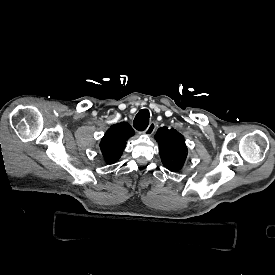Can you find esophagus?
<instances>
[{
    "label": "esophagus",
    "mask_w": 275,
    "mask_h": 275,
    "mask_svg": "<svg viewBox=\"0 0 275 275\" xmlns=\"http://www.w3.org/2000/svg\"><path fill=\"white\" fill-rule=\"evenodd\" d=\"M156 126H157L156 123L154 122L150 123L147 129L145 130L144 134L148 136L152 135L156 129Z\"/></svg>",
    "instance_id": "1"
}]
</instances>
